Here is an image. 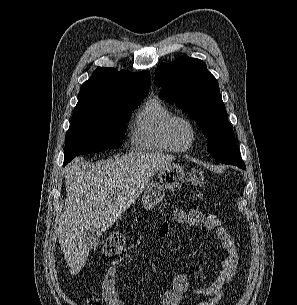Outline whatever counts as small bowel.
Wrapping results in <instances>:
<instances>
[{
    "label": "small bowel",
    "instance_id": "1",
    "mask_svg": "<svg viewBox=\"0 0 297 305\" xmlns=\"http://www.w3.org/2000/svg\"><path fill=\"white\" fill-rule=\"evenodd\" d=\"M172 219L179 224L202 226L213 231L222 242L225 256L219 267L215 281L204 287L193 288L184 273L176 274L171 287L166 290L159 300L160 305H179L184 295L200 297L202 300L197 305H218L225 295V287L232 280L238 266V251L228 231L221 226L220 220L211 214H205L198 209H176L172 213ZM169 232V225L164 222L159 228V238L164 239ZM126 264H130V259ZM118 269L109 268L105 274L101 297L105 305H128L129 301L122 297L117 284ZM88 305H102L96 294H90Z\"/></svg>",
    "mask_w": 297,
    "mask_h": 305
}]
</instances>
